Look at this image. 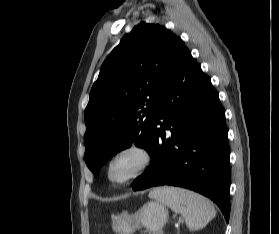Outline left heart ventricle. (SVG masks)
<instances>
[{
    "label": "left heart ventricle",
    "mask_w": 279,
    "mask_h": 234,
    "mask_svg": "<svg viewBox=\"0 0 279 234\" xmlns=\"http://www.w3.org/2000/svg\"><path fill=\"white\" fill-rule=\"evenodd\" d=\"M136 163V159L132 156L122 158L115 164L112 170V176L115 179L124 178L132 171V169L136 166Z\"/></svg>",
    "instance_id": "b2bd125f"
}]
</instances>
